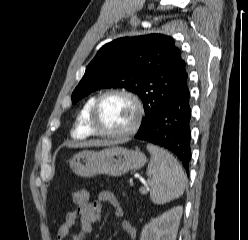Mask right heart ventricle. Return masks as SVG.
Returning <instances> with one entry per match:
<instances>
[{
	"label": "right heart ventricle",
	"instance_id": "e07e8e85",
	"mask_svg": "<svg viewBox=\"0 0 248 240\" xmlns=\"http://www.w3.org/2000/svg\"><path fill=\"white\" fill-rule=\"evenodd\" d=\"M97 95H92L85 100L78 111L75 124L72 128L71 135L74 139L83 140L93 134L89 119L92 107L97 99Z\"/></svg>",
	"mask_w": 248,
	"mask_h": 240
}]
</instances>
